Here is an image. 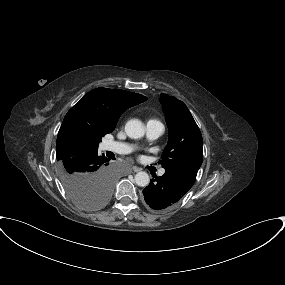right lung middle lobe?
<instances>
[{"label": "right lung middle lobe", "mask_w": 285, "mask_h": 285, "mask_svg": "<svg viewBox=\"0 0 285 285\" xmlns=\"http://www.w3.org/2000/svg\"><path fill=\"white\" fill-rule=\"evenodd\" d=\"M60 180L69 197L81 208L99 209L107 204L111 197L114 174L82 173L70 159H57Z\"/></svg>", "instance_id": "dd1d6c3e"}]
</instances>
